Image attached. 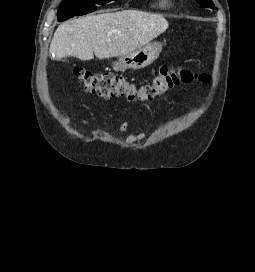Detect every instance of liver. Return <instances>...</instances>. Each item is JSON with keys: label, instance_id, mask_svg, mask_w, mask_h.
<instances>
[{"label": "liver", "instance_id": "liver-1", "mask_svg": "<svg viewBox=\"0 0 255 272\" xmlns=\"http://www.w3.org/2000/svg\"><path fill=\"white\" fill-rule=\"evenodd\" d=\"M168 21L159 14L137 10L87 15L62 23L50 44L56 60L67 56L91 60L122 57L166 31Z\"/></svg>", "mask_w": 255, "mask_h": 272}]
</instances>
